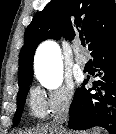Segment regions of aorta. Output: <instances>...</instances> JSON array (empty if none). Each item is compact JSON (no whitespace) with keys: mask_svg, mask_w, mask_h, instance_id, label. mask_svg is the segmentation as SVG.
<instances>
[{"mask_svg":"<svg viewBox=\"0 0 116 134\" xmlns=\"http://www.w3.org/2000/svg\"><path fill=\"white\" fill-rule=\"evenodd\" d=\"M35 73L39 82L48 89H56L63 82V63L60 47L53 41H45L36 50Z\"/></svg>","mask_w":116,"mask_h":134,"instance_id":"obj_1","label":"aorta"}]
</instances>
